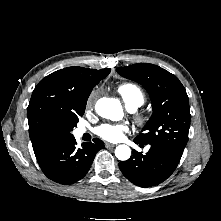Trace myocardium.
<instances>
[{
	"label": "myocardium",
	"instance_id": "myocardium-1",
	"mask_svg": "<svg viewBox=\"0 0 221 221\" xmlns=\"http://www.w3.org/2000/svg\"><path fill=\"white\" fill-rule=\"evenodd\" d=\"M148 120H149V117L147 114L140 113L136 115V121L138 122L140 126L146 125Z\"/></svg>",
	"mask_w": 221,
	"mask_h": 221
}]
</instances>
